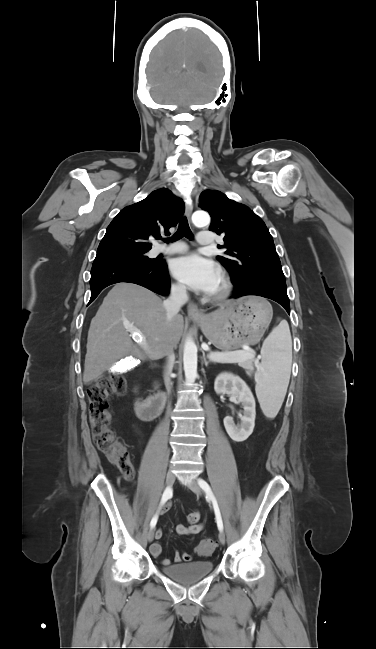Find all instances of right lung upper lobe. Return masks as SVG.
<instances>
[{
  "mask_svg": "<svg viewBox=\"0 0 376 649\" xmlns=\"http://www.w3.org/2000/svg\"><path fill=\"white\" fill-rule=\"evenodd\" d=\"M185 205L166 188L127 206L112 220L99 244L97 255L112 252L149 251V237L169 234L183 215Z\"/></svg>",
  "mask_w": 376,
  "mask_h": 649,
  "instance_id": "cb5924a9",
  "label": "right lung upper lobe"
}]
</instances>
